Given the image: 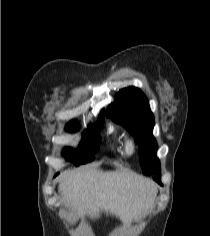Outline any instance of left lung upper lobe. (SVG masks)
Returning <instances> with one entry per match:
<instances>
[{
  "mask_svg": "<svg viewBox=\"0 0 210 236\" xmlns=\"http://www.w3.org/2000/svg\"><path fill=\"white\" fill-rule=\"evenodd\" d=\"M106 115L122 124L135 137L143 173L156 174L160 170V162L155 155L157 143L152 135L154 116L141 90L136 87L120 90Z\"/></svg>",
  "mask_w": 210,
  "mask_h": 236,
  "instance_id": "5c2ea615",
  "label": "left lung upper lobe"
}]
</instances>
